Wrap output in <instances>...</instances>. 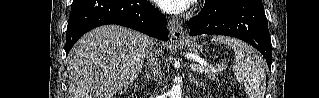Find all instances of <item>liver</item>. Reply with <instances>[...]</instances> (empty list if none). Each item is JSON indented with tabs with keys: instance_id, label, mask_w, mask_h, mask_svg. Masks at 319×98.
Instances as JSON below:
<instances>
[{
	"instance_id": "1",
	"label": "liver",
	"mask_w": 319,
	"mask_h": 98,
	"mask_svg": "<svg viewBox=\"0 0 319 98\" xmlns=\"http://www.w3.org/2000/svg\"><path fill=\"white\" fill-rule=\"evenodd\" d=\"M152 39L116 25L95 28L68 54L70 98H112L137 77Z\"/></svg>"
}]
</instances>
